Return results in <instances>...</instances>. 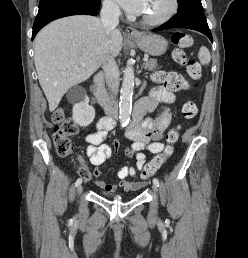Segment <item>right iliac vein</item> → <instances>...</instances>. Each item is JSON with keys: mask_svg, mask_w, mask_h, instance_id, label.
<instances>
[{"mask_svg": "<svg viewBox=\"0 0 248 258\" xmlns=\"http://www.w3.org/2000/svg\"><path fill=\"white\" fill-rule=\"evenodd\" d=\"M82 190H83V187L82 185H78V188H77V194L80 195L82 193Z\"/></svg>", "mask_w": 248, "mask_h": 258, "instance_id": "1", "label": "right iliac vein"}]
</instances>
